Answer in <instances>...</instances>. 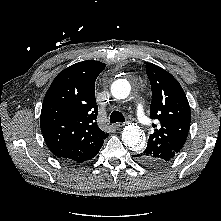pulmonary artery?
Here are the masks:
<instances>
[{
  "instance_id": "pulmonary-artery-1",
  "label": "pulmonary artery",
  "mask_w": 221,
  "mask_h": 221,
  "mask_svg": "<svg viewBox=\"0 0 221 221\" xmlns=\"http://www.w3.org/2000/svg\"><path fill=\"white\" fill-rule=\"evenodd\" d=\"M137 117H138V120L141 124H143V125L148 124V122H149L148 118L145 116L143 108L140 105L137 107Z\"/></svg>"
}]
</instances>
